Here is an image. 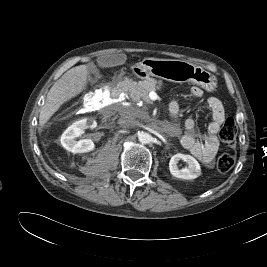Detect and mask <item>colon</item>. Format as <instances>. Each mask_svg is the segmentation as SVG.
Wrapping results in <instances>:
<instances>
[{"label":"colon","instance_id":"obj_1","mask_svg":"<svg viewBox=\"0 0 267 267\" xmlns=\"http://www.w3.org/2000/svg\"><path fill=\"white\" fill-rule=\"evenodd\" d=\"M237 137V124L233 118H227L220 130V138L229 146H234ZM235 163V157L230 153H222L217 159V169L228 172Z\"/></svg>","mask_w":267,"mask_h":267}]
</instances>
